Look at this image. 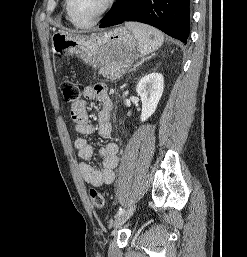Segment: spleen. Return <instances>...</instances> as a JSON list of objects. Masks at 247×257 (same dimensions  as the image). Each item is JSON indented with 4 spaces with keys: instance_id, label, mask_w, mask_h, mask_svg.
<instances>
[{
    "instance_id": "spleen-1",
    "label": "spleen",
    "mask_w": 247,
    "mask_h": 257,
    "mask_svg": "<svg viewBox=\"0 0 247 257\" xmlns=\"http://www.w3.org/2000/svg\"><path fill=\"white\" fill-rule=\"evenodd\" d=\"M125 25L137 40L142 55L156 51L163 44L164 35L158 29L136 22H127Z\"/></svg>"
}]
</instances>
